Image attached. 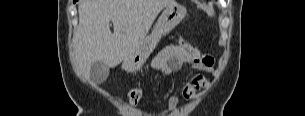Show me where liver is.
Returning <instances> with one entry per match:
<instances>
[{"instance_id":"6515ba94","label":"liver","mask_w":305,"mask_h":116,"mask_svg":"<svg viewBox=\"0 0 305 116\" xmlns=\"http://www.w3.org/2000/svg\"><path fill=\"white\" fill-rule=\"evenodd\" d=\"M176 4L175 0H81L73 38L77 74L89 80L96 61L116 67L146 37L162 9Z\"/></svg>"}]
</instances>
